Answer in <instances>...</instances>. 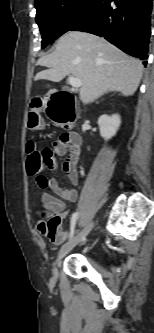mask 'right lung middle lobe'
<instances>
[{"label":"right lung middle lobe","mask_w":154,"mask_h":333,"mask_svg":"<svg viewBox=\"0 0 154 333\" xmlns=\"http://www.w3.org/2000/svg\"><path fill=\"white\" fill-rule=\"evenodd\" d=\"M99 0H40L35 4L36 22L42 46L53 42L75 24L87 18Z\"/></svg>","instance_id":"obj_1"}]
</instances>
